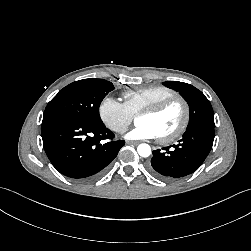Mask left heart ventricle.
<instances>
[{
	"mask_svg": "<svg viewBox=\"0 0 251 251\" xmlns=\"http://www.w3.org/2000/svg\"><path fill=\"white\" fill-rule=\"evenodd\" d=\"M182 117V106L179 103H174L160 114L140 115L137 122L152 126L158 136H163L173 132L179 126Z\"/></svg>",
	"mask_w": 251,
	"mask_h": 251,
	"instance_id": "left-heart-ventricle-1",
	"label": "left heart ventricle"
}]
</instances>
